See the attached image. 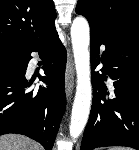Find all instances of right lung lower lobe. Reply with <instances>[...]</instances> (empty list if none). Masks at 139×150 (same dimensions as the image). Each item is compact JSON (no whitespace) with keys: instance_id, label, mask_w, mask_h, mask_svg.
Instances as JSON below:
<instances>
[{"instance_id":"98d812e1","label":"right lung lower lobe","mask_w":139,"mask_h":150,"mask_svg":"<svg viewBox=\"0 0 139 150\" xmlns=\"http://www.w3.org/2000/svg\"><path fill=\"white\" fill-rule=\"evenodd\" d=\"M32 52L45 60V76L39 75V79L50 84L28 91L34 81L25 78ZM66 58L55 27L18 55L0 58V135L23 134L52 150L66 105Z\"/></svg>"}]
</instances>
